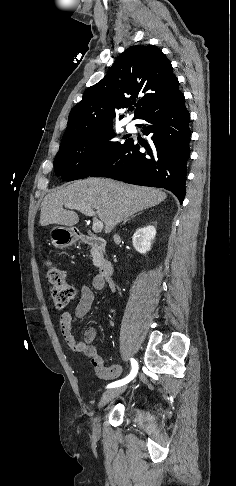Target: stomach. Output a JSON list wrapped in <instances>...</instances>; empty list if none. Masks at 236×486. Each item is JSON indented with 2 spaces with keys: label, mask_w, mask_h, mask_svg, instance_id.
I'll use <instances>...</instances> for the list:
<instances>
[{
  "label": "stomach",
  "mask_w": 236,
  "mask_h": 486,
  "mask_svg": "<svg viewBox=\"0 0 236 486\" xmlns=\"http://www.w3.org/2000/svg\"><path fill=\"white\" fill-rule=\"evenodd\" d=\"M50 238L54 247L64 249L77 241V234L72 227L56 226L52 228Z\"/></svg>",
  "instance_id": "stomach-1"
}]
</instances>
